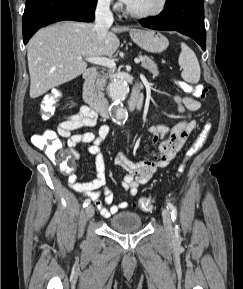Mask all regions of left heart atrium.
I'll use <instances>...</instances> for the list:
<instances>
[{
	"label": "left heart atrium",
	"instance_id": "obj_1",
	"mask_svg": "<svg viewBox=\"0 0 243 289\" xmlns=\"http://www.w3.org/2000/svg\"><path fill=\"white\" fill-rule=\"evenodd\" d=\"M124 3L128 4L130 0H122Z\"/></svg>",
	"mask_w": 243,
	"mask_h": 289
}]
</instances>
